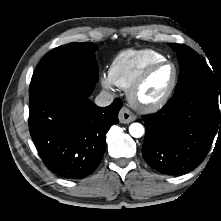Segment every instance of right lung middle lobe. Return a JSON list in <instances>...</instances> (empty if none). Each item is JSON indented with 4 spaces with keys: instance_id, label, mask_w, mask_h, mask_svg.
I'll list each match as a JSON object with an SVG mask.
<instances>
[{
    "instance_id": "1",
    "label": "right lung middle lobe",
    "mask_w": 221,
    "mask_h": 221,
    "mask_svg": "<svg viewBox=\"0 0 221 221\" xmlns=\"http://www.w3.org/2000/svg\"><path fill=\"white\" fill-rule=\"evenodd\" d=\"M94 43H70L48 52L37 65L30 83V97L48 83L69 75L98 81Z\"/></svg>"
}]
</instances>
